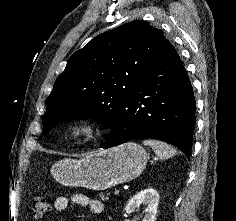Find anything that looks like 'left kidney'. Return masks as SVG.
<instances>
[{"mask_svg":"<svg viewBox=\"0 0 236 221\" xmlns=\"http://www.w3.org/2000/svg\"><path fill=\"white\" fill-rule=\"evenodd\" d=\"M159 202V194L153 188H147L136 194L126 205V213L135 212L141 204L147 208L144 212L142 221H155L157 214V206Z\"/></svg>","mask_w":236,"mask_h":221,"instance_id":"obj_1","label":"left kidney"}]
</instances>
